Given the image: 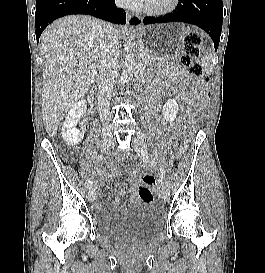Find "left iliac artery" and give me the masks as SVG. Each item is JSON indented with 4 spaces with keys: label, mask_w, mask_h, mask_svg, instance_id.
I'll list each match as a JSON object with an SVG mask.
<instances>
[{
    "label": "left iliac artery",
    "mask_w": 265,
    "mask_h": 273,
    "mask_svg": "<svg viewBox=\"0 0 265 273\" xmlns=\"http://www.w3.org/2000/svg\"><path fill=\"white\" fill-rule=\"evenodd\" d=\"M137 137H138L140 140H142V141H144V140L146 139V135H145L143 132H141V131L138 132ZM153 163H154V162H153ZM159 176H160V178H161V181H163V180H164V177H165V172H164V169H163V168H160V169H159Z\"/></svg>",
    "instance_id": "obj_1"
}]
</instances>
